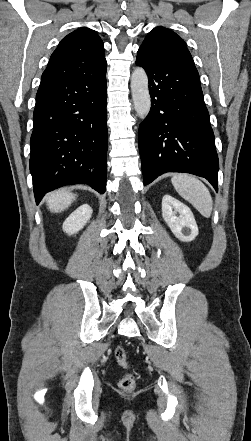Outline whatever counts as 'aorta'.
<instances>
[{"mask_svg": "<svg viewBox=\"0 0 251 441\" xmlns=\"http://www.w3.org/2000/svg\"><path fill=\"white\" fill-rule=\"evenodd\" d=\"M131 91L134 108L140 118H145L151 107L148 77L143 68L137 67L131 76Z\"/></svg>", "mask_w": 251, "mask_h": 441, "instance_id": "obj_1", "label": "aorta"}]
</instances>
